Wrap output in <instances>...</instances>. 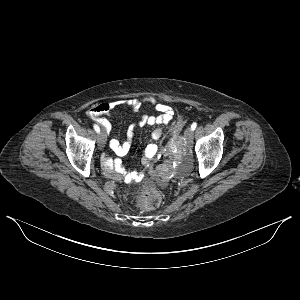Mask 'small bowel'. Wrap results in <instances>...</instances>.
<instances>
[{
    "label": "small bowel",
    "instance_id": "obj_1",
    "mask_svg": "<svg viewBox=\"0 0 300 300\" xmlns=\"http://www.w3.org/2000/svg\"><path fill=\"white\" fill-rule=\"evenodd\" d=\"M143 104H149L154 107V109L158 112L157 115H146L140 118L139 120L132 123L127 130V137L125 141L120 142L117 139H112L110 141V148L112 151L119 157H123L128 154L132 147L133 136L135 131L138 128L144 126H157L154 132L152 133V139L154 142L150 143L145 151L144 155L141 158V164L144 166H149L153 162L154 158L158 153V146L155 143L159 140L164 130L167 126L170 125L174 111L173 109L161 102H158L154 98H145L143 100L139 99H117L107 103H101L93 107L88 111V115L99 121L103 130L105 132H109L111 130V122L108 119L109 113L117 107L127 106L131 108L134 112H137ZM175 147L173 146V149ZM172 149V150H173ZM102 165L103 170L109 178L113 180L120 181L122 179H130L135 180L138 177V173L136 171L130 170L126 166L123 165L120 159H112L111 157L104 155L102 157ZM165 170H160L155 175L157 177H163L165 175Z\"/></svg>",
    "mask_w": 300,
    "mask_h": 300
}]
</instances>
